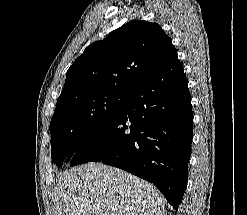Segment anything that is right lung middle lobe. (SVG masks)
<instances>
[{"mask_svg": "<svg viewBox=\"0 0 247 215\" xmlns=\"http://www.w3.org/2000/svg\"><path fill=\"white\" fill-rule=\"evenodd\" d=\"M130 96L115 92L97 93L69 99L57 106L50 122L53 162L60 167L84 136L124 110Z\"/></svg>", "mask_w": 247, "mask_h": 215, "instance_id": "right-lung-middle-lobe-1", "label": "right lung middle lobe"}]
</instances>
